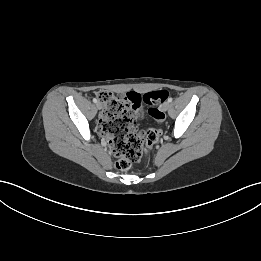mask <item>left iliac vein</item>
I'll use <instances>...</instances> for the list:
<instances>
[{
	"mask_svg": "<svg viewBox=\"0 0 261 261\" xmlns=\"http://www.w3.org/2000/svg\"><path fill=\"white\" fill-rule=\"evenodd\" d=\"M169 107H170V104H169L168 101H166V102H164V103L162 104V110H163V111H167V110L169 109Z\"/></svg>",
	"mask_w": 261,
	"mask_h": 261,
	"instance_id": "1",
	"label": "left iliac vein"
}]
</instances>
